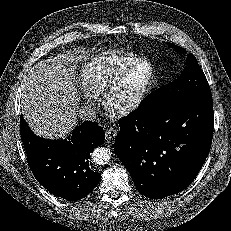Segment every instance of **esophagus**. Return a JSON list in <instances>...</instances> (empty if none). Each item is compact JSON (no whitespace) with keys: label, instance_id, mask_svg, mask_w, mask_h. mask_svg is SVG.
Listing matches in <instances>:
<instances>
[{"label":"esophagus","instance_id":"1","mask_svg":"<svg viewBox=\"0 0 231 231\" xmlns=\"http://www.w3.org/2000/svg\"><path fill=\"white\" fill-rule=\"evenodd\" d=\"M118 130L117 128L111 126L108 127L105 131L106 139L113 140L117 136Z\"/></svg>","mask_w":231,"mask_h":231}]
</instances>
